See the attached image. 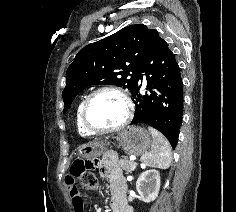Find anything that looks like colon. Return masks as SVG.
Wrapping results in <instances>:
<instances>
[{
	"label": "colon",
	"instance_id": "colon-1",
	"mask_svg": "<svg viewBox=\"0 0 236 212\" xmlns=\"http://www.w3.org/2000/svg\"><path fill=\"white\" fill-rule=\"evenodd\" d=\"M73 175L81 179V187L86 190H93L97 187L98 181L95 172V164L91 161H77L72 168Z\"/></svg>",
	"mask_w": 236,
	"mask_h": 212
}]
</instances>
